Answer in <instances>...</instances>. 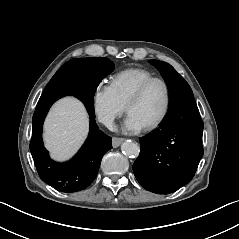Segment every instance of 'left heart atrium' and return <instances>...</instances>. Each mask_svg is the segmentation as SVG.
Segmentation results:
<instances>
[{
    "mask_svg": "<svg viewBox=\"0 0 239 239\" xmlns=\"http://www.w3.org/2000/svg\"><path fill=\"white\" fill-rule=\"evenodd\" d=\"M144 128L142 122L133 114L129 113L125 121V129L131 133H137Z\"/></svg>",
    "mask_w": 239,
    "mask_h": 239,
    "instance_id": "obj_1",
    "label": "left heart atrium"
}]
</instances>
